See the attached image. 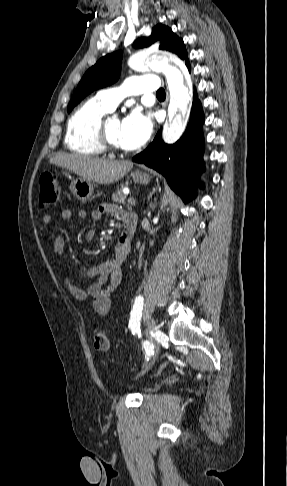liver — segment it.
<instances>
[{"instance_id": "6515ba94", "label": "liver", "mask_w": 287, "mask_h": 486, "mask_svg": "<svg viewBox=\"0 0 287 486\" xmlns=\"http://www.w3.org/2000/svg\"><path fill=\"white\" fill-rule=\"evenodd\" d=\"M50 164L66 168L81 178L110 184L121 179L128 173L133 163L131 161H111L90 158L79 154H59L50 159Z\"/></svg>"}]
</instances>
